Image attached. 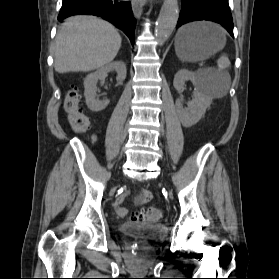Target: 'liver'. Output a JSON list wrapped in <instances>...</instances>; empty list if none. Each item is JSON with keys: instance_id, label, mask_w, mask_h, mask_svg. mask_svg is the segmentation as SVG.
I'll return each mask as SVG.
<instances>
[{"instance_id": "liver-1", "label": "liver", "mask_w": 279, "mask_h": 279, "mask_svg": "<svg viewBox=\"0 0 279 279\" xmlns=\"http://www.w3.org/2000/svg\"><path fill=\"white\" fill-rule=\"evenodd\" d=\"M115 27L97 17L67 19L56 36L54 67L58 73L88 72L110 63L121 47Z\"/></svg>"}]
</instances>
